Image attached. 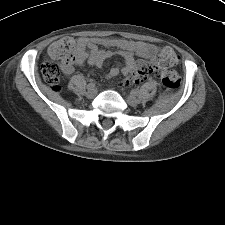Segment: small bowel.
Listing matches in <instances>:
<instances>
[{"label":"small bowel","mask_w":225,"mask_h":225,"mask_svg":"<svg viewBox=\"0 0 225 225\" xmlns=\"http://www.w3.org/2000/svg\"><path fill=\"white\" fill-rule=\"evenodd\" d=\"M76 43V62L72 65H64L63 71L66 74H71L75 66H81L86 61L93 66L102 67L106 60L112 58L115 54L123 60V64H116L105 75V78L110 79L119 74L132 75L139 63L143 59L155 61L159 52L157 46L142 42L128 44L117 39H97L79 37L75 40ZM99 45L107 48H116V51L100 49ZM135 55L142 59H136Z\"/></svg>","instance_id":"1"}]
</instances>
